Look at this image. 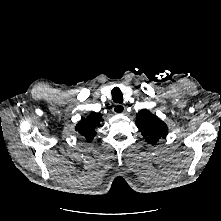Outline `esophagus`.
<instances>
[{
  "mask_svg": "<svg viewBox=\"0 0 221 221\" xmlns=\"http://www.w3.org/2000/svg\"><path fill=\"white\" fill-rule=\"evenodd\" d=\"M112 110L115 114H123V113H125L126 108L122 104H116Z\"/></svg>",
  "mask_w": 221,
  "mask_h": 221,
  "instance_id": "1",
  "label": "esophagus"
}]
</instances>
